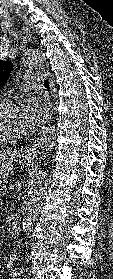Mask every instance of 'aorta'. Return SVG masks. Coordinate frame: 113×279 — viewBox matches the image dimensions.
Returning <instances> with one entry per match:
<instances>
[{"instance_id":"aorta-1","label":"aorta","mask_w":113,"mask_h":279,"mask_svg":"<svg viewBox=\"0 0 113 279\" xmlns=\"http://www.w3.org/2000/svg\"><path fill=\"white\" fill-rule=\"evenodd\" d=\"M45 58V51L41 48H31L22 55V63L28 67L40 65ZM58 131L55 127H46L42 130L36 145L41 150L47 151L54 147ZM47 189V174L43 170L36 172L28 190V202L22 219V231L27 233L37 220L43 204Z\"/></svg>"}]
</instances>
